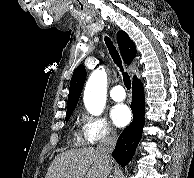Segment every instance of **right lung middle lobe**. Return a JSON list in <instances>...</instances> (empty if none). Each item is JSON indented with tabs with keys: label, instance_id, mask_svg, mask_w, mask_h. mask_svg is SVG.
Masks as SVG:
<instances>
[{
	"label": "right lung middle lobe",
	"instance_id": "1",
	"mask_svg": "<svg viewBox=\"0 0 194 178\" xmlns=\"http://www.w3.org/2000/svg\"><path fill=\"white\" fill-rule=\"evenodd\" d=\"M72 112H73V111L67 112V114H66V118H65L67 121H68V119L70 118V116H71Z\"/></svg>",
	"mask_w": 194,
	"mask_h": 178
}]
</instances>
